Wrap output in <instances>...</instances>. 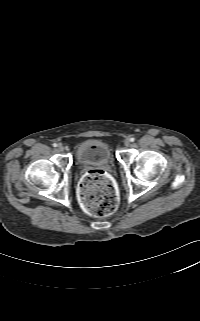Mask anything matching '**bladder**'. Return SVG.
<instances>
[{
    "instance_id": "obj_1",
    "label": "bladder",
    "mask_w": 200,
    "mask_h": 321,
    "mask_svg": "<svg viewBox=\"0 0 200 321\" xmlns=\"http://www.w3.org/2000/svg\"><path fill=\"white\" fill-rule=\"evenodd\" d=\"M76 159L79 164L110 163L113 160L112 146L101 139H88L79 144L76 149Z\"/></svg>"
}]
</instances>
